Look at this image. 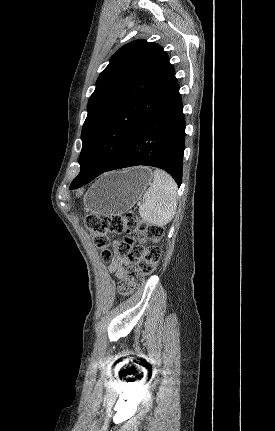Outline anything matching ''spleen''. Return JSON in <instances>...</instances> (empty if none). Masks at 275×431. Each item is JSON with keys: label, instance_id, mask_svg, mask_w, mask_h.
<instances>
[{"label": "spleen", "instance_id": "spleen-1", "mask_svg": "<svg viewBox=\"0 0 275 431\" xmlns=\"http://www.w3.org/2000/svg\"><path fill=\"white\" fill-rule=\"evenodd\" d=\"M176 209L177 184L168 173L156 169L153 182L143 195L139 214L145 222L162 227L173 219Z\"/></svg>", "mask_w": 275, "mask_h": 431}]
</instances>
